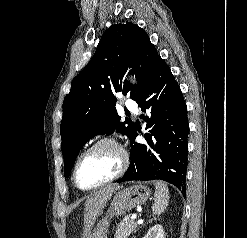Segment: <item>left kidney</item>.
<instances>
[{
    "instance_id": "5707ae66",
    "label": "left kidney",
    "mask_w": 247,
    "mask_h": 238,
    "mask_svg": "<svg viewBox=\"0 0 247 238\" xmlns=\"http://www.w3.org/2000/svg\"><path fill=\"white\" fill-rule=\"evenodd\" d=\"M143 238H165L164 230L161 225L157 224L151 227Z\"/></svg>"
}]
</instances>
